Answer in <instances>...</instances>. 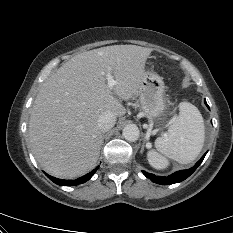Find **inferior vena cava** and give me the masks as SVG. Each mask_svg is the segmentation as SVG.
Segmentation results:
<instances>
[{
	"label": "inferior vena cava",
	"mask_w": 233,
	"mask_h": 233,
	"mask_svg": "<svg viewBox=\"0 0 233 233\" xmlns=\"http://www.w3.org/2000/svg\"><path fill=\"white\" fill-rule=\"evenodd\" d=\"M116 122V116L111 112H105L98 118V128L101 132L110 130Z\"/></svg>",
	"instance_id": "obj_1"
}]
</instances>
